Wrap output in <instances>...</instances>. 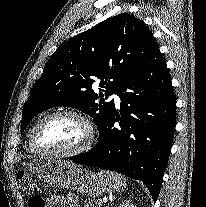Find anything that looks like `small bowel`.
<instances>
[{"label":"small bowel","mask_w":206,"mask_h":207,"mask_svg":"<svg viewBox=\"0 0 206 207\" xmlns=\"http://www.w3.org/2000/svg\"><path fill=\"white\" fill-rule=\"evenodd\" d=\"M46 207H79V205L72 196H57L49 199Z\"/></svg>","instance_id":"1"}]
</instances>
